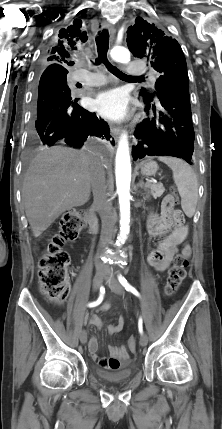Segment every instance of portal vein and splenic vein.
Segmentation results:
<instances>
[{
  "mask_svg": "<svg viewBox=\"0 0 222 429\" xmlns=\"http://www.w3.org/2000/svg\"><path fill=\"white\" fill-rule=\"evenodd\" d=\"M152 181L147 182V184H150Z\"/></svg>",
  "mask_w": 222,
  "mask_h": 429,
  "instance_id": "18ae733b",
  "label": "portal vein and splenic vein"
}]
</instances>
